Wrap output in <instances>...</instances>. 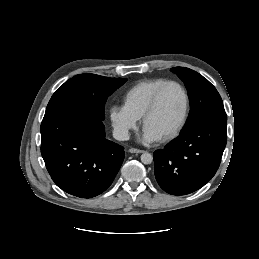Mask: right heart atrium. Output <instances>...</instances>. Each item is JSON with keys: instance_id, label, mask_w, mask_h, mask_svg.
<instances>
[{"instance_id": "d8ad5b80", "label": "right heart atrium", "mask_w": 259, "mask_h": 259, "mask_svg": "<svg viewBox=\"0 0 259 259\" xmlns=\"http://www.w3.org/2000/svg\"><path fill=\"white\" fill-rule=\"evenodd\" d=\"M109 119L116 137L120 140L128 139L130 132L139 124L138 118L119 105H113L109 109Z\"/></svg>"}]
</instances>
